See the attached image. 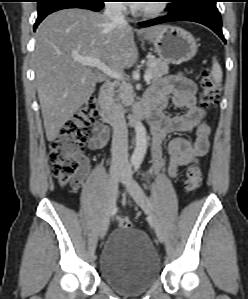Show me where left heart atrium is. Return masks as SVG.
<instances>
[{
  "instance_id": "left-heart-atrium-1",
  "label": "left heart atrium",
  "mask_w": 248,
  "mask_h": 299,
  "mask_svg": "<svg viewBox=\"0 0 248 299\" xmlns=\"http://www.w3.org/2000/svg\"><path fill=\"white\" fill-rule=\"evenodd\" d=\"M131 5L134 6V7H142L143 6L142 1H140V0H133L131 2Z\"/></svg>"
}]
</instances>
